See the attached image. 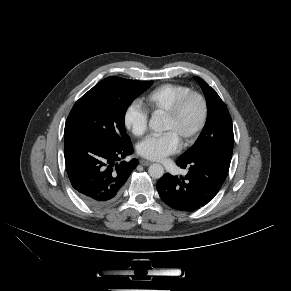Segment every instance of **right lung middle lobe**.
Listing matches in <instances>:
<instances>
[{
    "label": "right lung middle lobe",
    "instance_id": "obj_1",
    "mask_svg": "<svg viewBox=\"0 0 291 291\" xmlns=\"http://www.w3.org/2000/svg\"><path fill=\"white\" fill-rule=\"evenodd\" d=\"M152 83L116 76L105 78L73 106L65 123L64 141L75 138L130 141L124 126L126 110Z\"/></svg>",
    "mask_w": 291,
    "mask_h": 291
}]
</instances>
